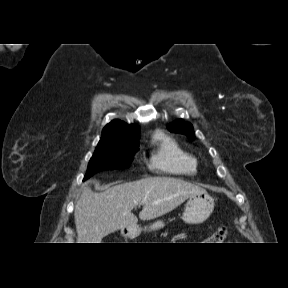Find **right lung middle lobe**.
<instances>
[{"instance_id": "dd1d6c3e", "label": "right lung middle lobe", "mask_w": 288, "mask_h": 288, "mask_svg": "<svg viewBox=\"0 0 288 288\" xmlns=\"http://www.w3.org/2000/svg\"><path fill=\"white\" fill-rule=\"evenodd\" d=\"M137 150V141L119 137L99 141L94 155L89 161L84 180L102 170L129 167Z\"/></svg>"}]
</instances>
